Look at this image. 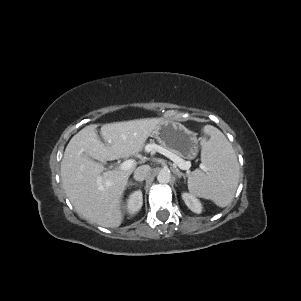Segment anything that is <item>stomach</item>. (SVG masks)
Masks as SVG:
<instances>
[{"label": "stomach", "instance_id": "0dacf381", "mask_svg": "<svg viewBox=\"0 0 301 301\" xmlns=\"http://www.w3.org/2000/svg\"><path fill=\"white\" fill-rule=\"evenodd\" d=\"M161 146L185 159H194L199 150L197 134L183 124L164 121L153 132Z\"/></svg>", "mask_w": 301, "mask_h": 301}]
</instances>
